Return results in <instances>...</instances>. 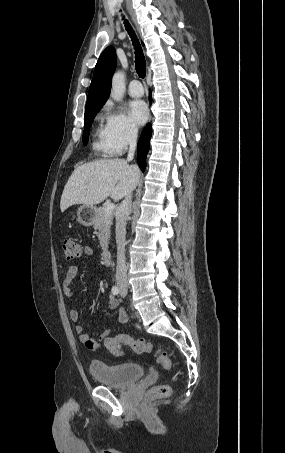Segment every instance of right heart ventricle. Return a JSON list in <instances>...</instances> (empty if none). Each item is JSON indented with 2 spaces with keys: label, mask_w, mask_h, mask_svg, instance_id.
<instances>
[{
  "label": "right heart ventricle",
  "mask_w": 285,
  "mask_h": 453,
  "mask_svg": "<svg viewBox=\"0 0 285 453\" xmlns=\"http://www.w3.org/2000/svg\"><path fill=\"white\" fill-rule=\"evenodd\" d=\"M94 136H95L93 141L94 150L100 154L109 155L110 151L106 140L105 127L98 126L95 129Z\"/></svg>",
  "instance_id": "e07e8e85"
}]
</instances>
